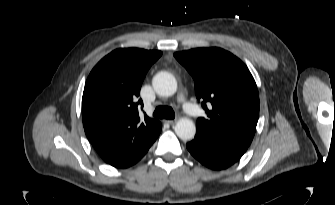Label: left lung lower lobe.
Instances as JSON below:
<instances>
[{
  "mask_svg": "<svg viewBox=\"0 0 335 205\" xmlns=\"http://www.w3.org/2000/svg\"><path fill=\"white\" fill-rule=\"evenodd\" d=\"M186 147L203 165L221 170L238 161L248 145L229 142L197 130L195 139L187 143Z\"/></svg>",
  "mask_w": 335,
  "mask_h": 205,
  "instance_id": "0a47b994",
  "label": "left lung lower lobe"
}]
</instances>
